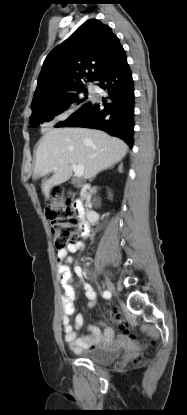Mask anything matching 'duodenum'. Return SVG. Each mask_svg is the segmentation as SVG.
<instances>
[{
  "label": "duodenum",
  "mask_w": 187,
  "mask_h": 415,
  "mask_svg": "<svg viewBox=\"0 0 187 415\" xmlns=\"http://www.w3.org/2000/svg\"><path fill=\"white\" fill-rule=\"evenodd\" d=\"M80 191L83 193V196L86 197L88 193L87 186H82ZM73 209L76 214L82 218L80 229L84 235H87L90 230L91 222L95 220V213L91 210L87 211L83 200L80 199L73 202Z\"/></svg>",
  "instance_id": "1"
}]
</instances>
